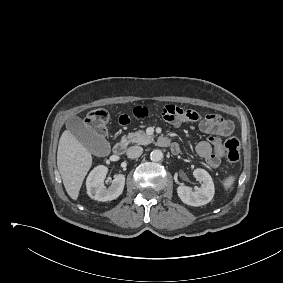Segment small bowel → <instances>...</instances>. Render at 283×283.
<instances>
[{"label": "small bowel", "instance_id": "1", "mask_svg": "<svg viewBox=\"0 0 283 283\" xmlns=\"http://www.w3.org/2000/svg\"><path fill=\"white\" fill-rule=\"evenodd\" d=\"M148 113L149 111L145 107H136L133 110V115L136 117H144L147 116ZM163 117L176 127H180L183 123L187 122L197 123L199 129L209 135L205 141L199 142L196 146L197 154L203 158L206 164L212 169L220 165L221 159L224 156L221 137L228 136L232 133L234 129L232 121L214 113L201 115L195 110L183 109L174 104L165 106L163 109ZM129 122V115H120L119 123L121 125H127ZM176 145L178 146V144Z\"/></svg>", "mask_w": 283, "mask_h": 283}]
</instances>
